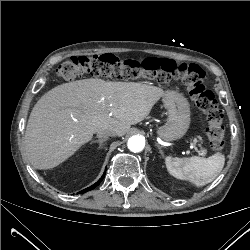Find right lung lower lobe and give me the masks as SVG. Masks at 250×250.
I'll return each mask as SVG.
<instances>
[{
	"label": "right lung lower lobe",
	"instance_id": "98d812e1",
	"mask_svg": "<svg viewBox=\"0 0 250 250\" xmlns=\"http://www.w3.org/2000/svg\"><path fill=\"white\" fill-rule=\"evenodd\" d=\"M105 173L106 172H104V174L102 175V177L95 184H93L92 186L84 189L83 191H80L79 193H84V192L90 191V190L94 189L95 187H97L101 183V181L103 180V178L105 176Z\"/></svg>",
	"mask_w": 250,
	"mask_h": 250
}]
</instances>
